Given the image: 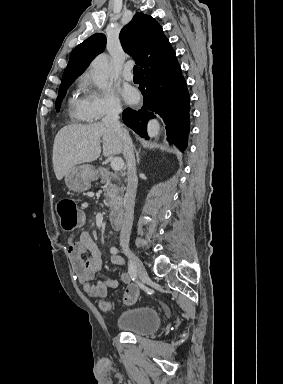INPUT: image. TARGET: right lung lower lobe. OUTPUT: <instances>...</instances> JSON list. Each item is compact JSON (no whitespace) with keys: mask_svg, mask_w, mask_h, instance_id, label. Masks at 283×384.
I'll list each match as a JSON object with an SVG mask.
<instances>
[{"mask_svg":"<svg viewBox=\"0 0 283 384\" xmlns=\"http://www.w3.org/2000/svg\"><path fill=\"white\" fill-rule=\"evenodd\" d=\"M139 89L144 96L143 106L125 109L123 122L147 139L148 121L160 116L169 143L183 152L190 129V96L178 62L166 70L142 76Z\"/></svg>","mask_w":283,"mask_h":384,"instance_id":"1","label":"right lung lower lobe"}]
</instances>
